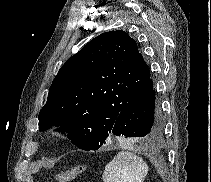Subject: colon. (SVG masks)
I'll list each match as a JSON object with an SVG mask.
<instances>
[{
  "label": "colon",
  "instance_id": "1",
  "mask_svg": "<svg viewBox=\"0 0 211 182\" xmlns=\"http://www.w3.org/2000/svg\"><path fill=\"white\" fill-rule=\"evenodd\" d=\"M86 170L84 165H77L57 175L58 182H69Z\"/></svg>",
  "mask_w": 211,
  "mask_h": 182
}]
</instances>
